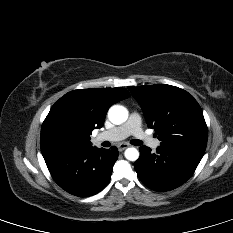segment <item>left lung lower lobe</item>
Segmentation results:
<instances>
[{
  "instance_id": "0a47b994",
  "label": "left lung lower lobe",
  "mask_w": 233,
  "mask_h": 233,
  "mask_svg": "<svg viewBox=\"0 0 233 233\" xmlns=\"http://www.w3.org/2000/svg\"><path fill=\"white\" fill-rule=\"evenodd\" d=\"M135 162L139 179L149 188L163 192L185 183L196 170L205 148L196 146H159L157 153L142 146Z\"/></svg>"
}]
</instances>
